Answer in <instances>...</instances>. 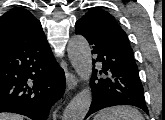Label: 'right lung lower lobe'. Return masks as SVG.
Masks as SVG:
<instances>
[{
  "label": "right lung lower lobe",
  "instance_id": "1",
  "mask_svg": "<svg viewBox=\"0 0 165 120\" xmlns=\"http://www.w3.org/2000/svg\"><path fill=\"white\" fill-rule=\"evenodd\" d=\"M64 90V71L46 37L0 52V112L46 120Z\"/></svg>",
  "mask_w": 165,
  "mask_h": 120
}]
</instances>
